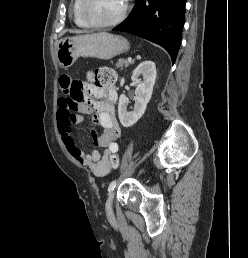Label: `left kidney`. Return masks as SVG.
I'll return each instance as SVG.
<instances>
[{
    "mask_svg": "<svg viewBox=\"0 0 248 258\" xmlns=\"http://www.w3.org/2000/svg\"><path fill=\"white\" fill-rule=\"evenodd\" d=\"M142 75L143 79H140ZM156 66L153 61L141 62L132 74V81L137 84L132 111H127V97L122 94L119 98L118 115L123 127H131L144 114L146 106L151 99L153 87L156 80Z\"/></svg>",
    "mask_w": 248,
    "mask_h": 258,
    "instance_id": "1",
    "label": "left kidney"
}]
</instances>
